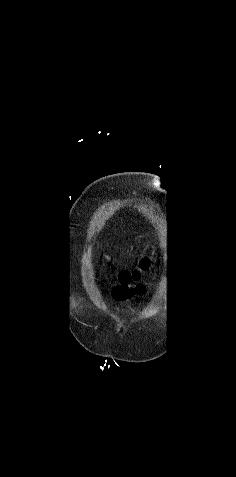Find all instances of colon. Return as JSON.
<instances>
[{
  "instance_id": "5ec220e1",
  "label": "colon",
  "mask_w": 236,
  "mask_h": 477,
  "mask_svg": "<svg viewBox=\"0 0 236 477\" xmlns=\"http://www.w3.org/2000/svg\"><path fill=\"white\" fill-rule=\"evenodd\" d=\"M148 268V261L142 260L140 263V270ZM140 270H122L119 273V284L114 289V296L117 299H126L135 293V289L131 287V283L135 282L140 277ZM140 290V289H138Z\"/></svg>"
}]
</instances>
